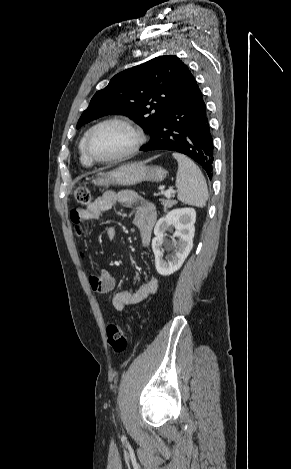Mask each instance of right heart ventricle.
Segmentation results:
<instances>
[{
  "label": "right heart ventricle",
  "mask_w": 291,
  "mask_h": 469,
  "mask_svg": "<svg viewBox=\"0 0 291 469\" xmlns=\"http://www.w3.org/2000/svg\"><path fill=\"white\" fill-rule=\"evenodd\" d=\"M86 135V134H85ZM85 135L82 137L80 143H79V154H80V162L83 166H91L93 163L86 157L83 149V144H84V138Z\"/></svg>",
  "instance_id": "right-heart-ventricle-1"
}]
</instances>
